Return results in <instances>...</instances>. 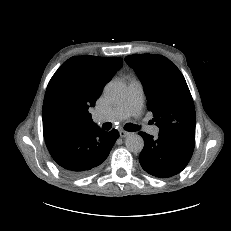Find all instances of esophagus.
Returning a JSON list of instances; mask_svg holds the SVG:
<instances>
[{
	"label": "esophagus",
	"instance_id": "obj_1",
	"mask_svg": "<svg viewBox=\"0 0 231 231\" xmlns=\"http://www.w3.org/2000/svg\"><path fill=\"white\" fill-rule=\"evenodd\" d=\"M120 137L124 138L127 137L130 133L125 130H119Z\"/></svg>",
	"mask_w": 231,
	"mask_h": 231
}]
</instances>
